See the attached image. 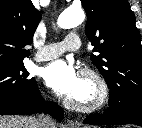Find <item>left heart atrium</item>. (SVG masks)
<instances>
[{
  "instance_id": "obj_1",
  "label": "left heart atrium",
  "mask_w": 142,
  "mask_h": 128,
  "mask_svg": "<svg viewBox=\"0 0 142 128\" xmlns=\"http://www.w3.org/2000/svg\"><path fill=\"white\" fill-rule=\"evenodd\" d=\"M43 78L48 87L63 96H73L82 80L76 68L64 60H56L45 67Z\"/></svg>"
}]
</instances>
